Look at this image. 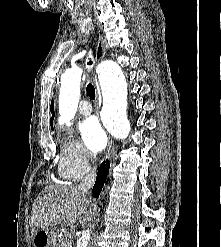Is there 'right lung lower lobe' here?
<instances>
[{
	"mask_svg": "<svg viewBox=\"0 0 221 247\" xmlns=\"http://www.w3.org/2000/svg\"><path fill=\"white\" fill-rule=\"evenodd\" d=\"M109 167H110L109 162L108 160H106V163L103 162L98 170L96 182L92 189L93 195L96 198L99 197V193L101 192L102 187L106 182Z\"/></svg>",
	"mask_w": 221,
	"mask_h": 247,
	"instance_id": "98d812e1",
	"label": "right lung lower lobe"
}]
</instances>
